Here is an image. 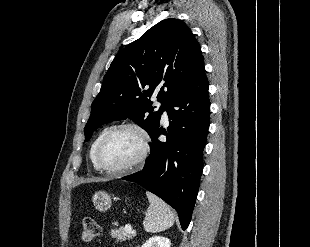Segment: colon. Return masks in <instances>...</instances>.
I'll use <instances>...</instances> for the list:
<instances>
[{
	"label": "colon",
	"mask_w": 310,
	"mask_h": 247,
	"mask_svg": "<svg viewBox=\"0 0 310 247\" xmlns=\"http://www.w3.org/2000/svg\"><path fill=\"white\" fill-rule=\"evenodd\" d=\"M100 234V226L92 218H85L82 223L81 236L86 243L94 241Z\"/></svg>",
	"instance_id": "obj_1"
}]
</instances>
